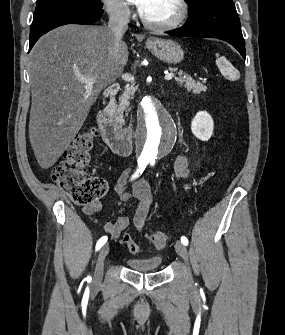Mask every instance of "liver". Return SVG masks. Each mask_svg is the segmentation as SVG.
<instances>
[{
  "label": "liver",
  "instance_id": "liver-1",
  "mask_svg": "<svg viewBox=\"0 0 285 335\" xmlns=\"http://www.w3.org/2000/svg\"><path fill=\"white\" fill-rule=\"evenodd\" d=\"M108 26L68 24L35 44L29 60L32 104L29 138L43 169L51 168L81 130L102 90L121 76L128 62ZM79 76H96L83 84Z\"/></svg>",
  "mask_w": 285,
  "mask_h": 335
}]
</instances>
